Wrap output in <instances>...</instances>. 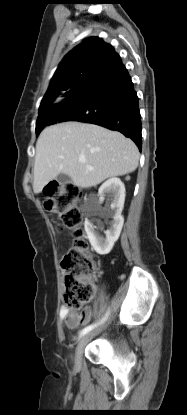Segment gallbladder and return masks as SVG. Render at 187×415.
I'll return each instance as SVG.
<instances>
[{"instance_id":"obj_1","label":"gallbladder","mask_w":187,"mask_h":415,"mask_svg":"<svg viewBox=\"0 0 187 415\" xmlns=\"http://www.w3.org/2000/svg\"><path fill=\"white\" fill-rule=\"evenodd\" d=\"M56 180L62 185L72 183L71 178L68 175L63 174V173H60L57 176Z\"/></svg>"}]
</instances>
